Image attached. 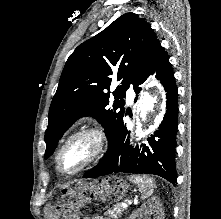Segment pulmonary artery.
<instances>
[{
    "label": "pulmonary artery",
    "mask_w": 221,
    "mask_h": 219,
    "mask_svg": "<svg viewBox=\"0 0 221 219\" xmlns=\"http://www.w3.org/2000/svg\"><path fill=\"white\" fill-rule=\"evenodd\" d=\"M127 98L129 102H132L133 100V93L130 89L127 90Z\"/></svg>",
    "instance_id": "e3ab8cb5"
}]
</instances>
